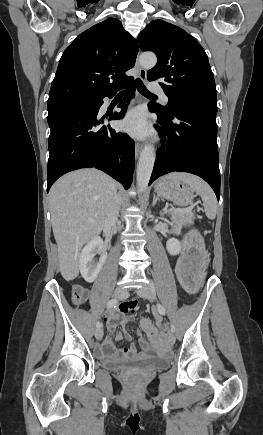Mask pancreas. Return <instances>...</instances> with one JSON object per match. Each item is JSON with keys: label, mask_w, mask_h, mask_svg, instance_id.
Listing matches in <instances>:
<instances>
[{"label": "pancreas", "mask_w": 263, "mask_h": 435, "mask_svg": "<svg viewBox=\"0 0 263 435\" xmlns=\"http://www.w3.org/2000/svg\"><path fill=\"white\" fill-rule=\"evenodd\" d=\"M170 213L172 214L174 219L184 223L187 222L191 224L194 222V219L196 218V214L193 213L192 211L185 212V211H179L177 209H172Z\"/></svg>", "instance_id": "pancreas-1"}]
</instances>
